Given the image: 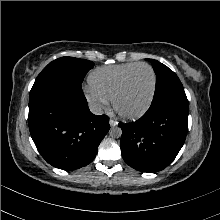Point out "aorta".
<instances>
[{
    "label": "aorta",
    "mask_w": 220,
    "mask_h": 220,
    "mask_svg": "<svg viewBox=\"0 0 220 220\" xmlns=\"http://www.w3.org/2000/svg\"><path fill=\"white\" fill-rule=\"evenodd\" d=\"M109 134L112 138H120L122 135V130L119 126H113L110 128Z\"/></svg>",
    "instance_id": "1"
}]
</instances>
